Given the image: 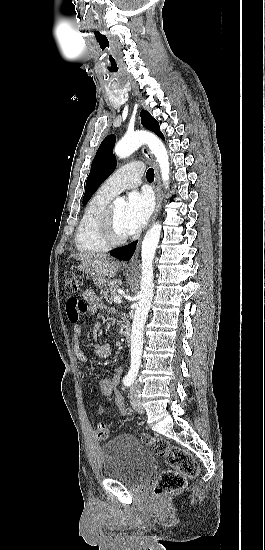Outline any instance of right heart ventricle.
<instances>
[{
    "label": "right heart ventricle",
    "mask_w": 265,
    "mask_h": 550,
    "mask_svg": "<svg viewBox=\"0 0 265 550\" xmlns=\"http://www.w3.org/2000/svg\"><path fill=\"white\" fill-rule=\"evenodd\" d=\"M114 196L106 193L100 187L86 204L80 218L75 244L81 252H105L109 245L99 231V221Z\"/></svg>",
    "instance_id": "1"
}]
</instances>
